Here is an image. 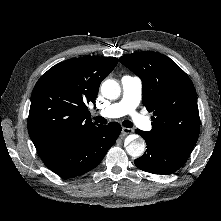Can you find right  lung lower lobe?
I'll return each mask as SVG.
<instances>
[{
	"label": "right lung lower lobe",
	"instance_id": "obj_1",
	"mask_svg": "<svg viewBox=\"0 0 221 221\" xmlns=\"http://www.w3.org/2000/svg\"><path fill=\"white\" fill-rule=\"evenodd\" d=\"M121 132V125H98L85 136L53 146L40 154L44 164L62 177L82 175L99 165Z\"/></svg>",
	"mask_w": 221,
	"mask_h": 221
}]
</instances>
